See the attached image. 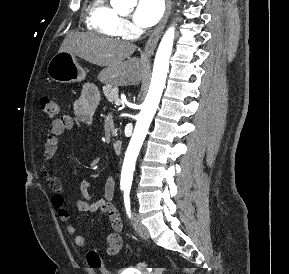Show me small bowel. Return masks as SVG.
Instances as JSON below:
<instances>
[{
	"mask_svg": "<svg viewBox=\"0 0 289 274\" xmlns=\"http://www.w3.org/2000/svg\"><path fill=\"white\" fill-rule=\"evenodd\" d=\"M100 100L98 88L93 84L84 86L81 94L74 101V117L70 115H62L53 120L49 126L43 149V174L50 189L53 191L51 202L56 209L61 222L66 223L68 234L75 235L76 228L69 224V211L65 206V189L58 177L54 176L50 170V166L56 155L59 138L66 131L71 130L74 124L90 125L93 120L95 109ZM115 191V180L109 176L106 179L103 190V197L93 200L91 197V185L87 181H83L80 185L81 198L78 199L76 206L80 212H101L110 222L111 232L107 236V249L109 255L118 253L123 246V224L119 213L115 208L112 200ZM88 239L84 235L75 236V244L78 247H85Z\"/></svg>",
	"mask_w": 289,
	"mask_h": 274,
	"instance_id": "1",
	"label": "small bowel"
}]
</instances>
